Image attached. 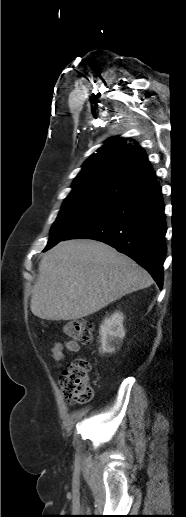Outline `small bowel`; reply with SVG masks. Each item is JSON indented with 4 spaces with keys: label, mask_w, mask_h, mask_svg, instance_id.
Wrapping results in <instances>:
<instances>
[{
    "label": "small bowel",
    "mask_w": 186,
    "mask_h": 517,
    "mask_svg": "<svg viewBox=\"0 0 186 517\" xmlns=\"http://www.w3.org/2000/svg\"><path fill=\"white\" fill-rule=\"evenodd\" d=\"M79 350L80 344L76 341L56 342L50 351V357L57 365H60L66 360V352L76 354Z\"/></svg>",
    "instance_id": "1"
}]
</instances>
